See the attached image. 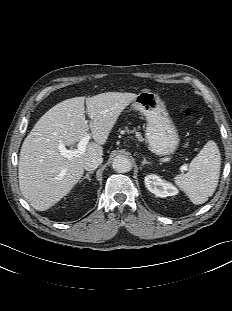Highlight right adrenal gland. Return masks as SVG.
<instances>
[{
    "mask_svg": "<svg viewBox=\"0 0 232 311\" xmlns=\"http://www.w3.org/2000/svg\"><path fill=\"white\" fill-rule=\"evenodd\" d=\"M93 173L94 171L87 172L86 175L79 182L81 183L85 179H88V181L90 182L91 181L90 174H93Z\"/></svg>",
    "mask_w": 232,
    "mask_h": 311,
    "instance_id": "2a0ac1e0",
    "label": "right adrenal gland"
}]
</instances>
